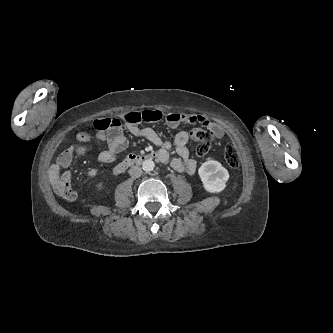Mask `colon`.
Here are the masks:
<instances>
[{
	"label": "colon",
	"instance_id": "obj_1",
	"mask_svg": "<svg viewBox=\"0 0 333 333\" xmlns=\"http://www.w3.org/2000/svg\"><path fill=\"white\" fill-rule=\"evenodd\" d=\"M122 125V121L118 118H98L94 121V128L97 131H116ZM190 137L192 140L198 142V146L196 148V154L199 157L205 156L209 150L211 145L212 134L202 128H195L190 132ZM86 148L79 147L77 152L79 154L85 153ZM224 160L227 165L233 169L239 167V156L236 150V147L229 143L226 145L224 149Z\"/></svg>",
	"mask_w": 333,
	"mask_h": 333
}]
</instances>
